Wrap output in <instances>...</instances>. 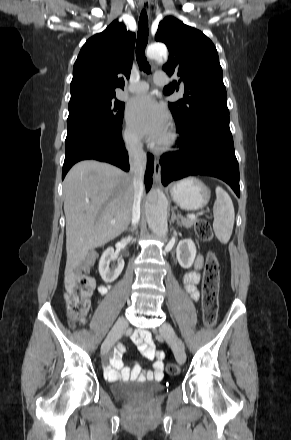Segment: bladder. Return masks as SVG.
<instances>
[{
	"label": "bladder",
	"instance_id": "bladder-1",
	"mask_svg": "<svg viewBox=\"0 0 291 440\" xmlns=\"http://www.w3.org/2000/svg\"><path fill=\"white\" fill-rule=\"evenodd\" d=\"M163 391L162 386L153 385L150 387H139V383L132 381H119L113 388V395L121 400L126 401L140 396L152 397Z\"/></svg>",
	"mask_w": 291,
	"mask_h": 440
}]
</instances>
